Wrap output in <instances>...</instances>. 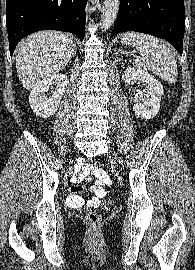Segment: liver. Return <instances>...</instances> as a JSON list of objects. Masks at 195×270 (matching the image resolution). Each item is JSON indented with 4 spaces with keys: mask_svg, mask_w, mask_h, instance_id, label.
I'll return each instance as SVG.
<instances>
[{
    "mask_svg": "<svg viewBox=\"0 0 195 270\" xmlns=\"http://www.w3.org/2000/svg\"><path fill=\"white\" fill-rule=\"evenodd\" d=\"M73 40L57 31H39L22 40L16 47V69L26 90L58 74L74 52Z\"/></svg>",
    "mask_w": 195,
    "mask_h": 270,
    "instance_id": "obj_1",
    "label": "liver"
}]
</instances>
